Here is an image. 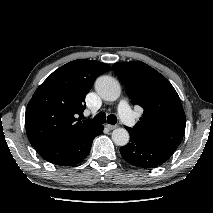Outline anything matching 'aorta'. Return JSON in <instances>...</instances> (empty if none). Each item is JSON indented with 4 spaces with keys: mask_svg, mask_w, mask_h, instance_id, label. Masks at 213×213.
<instances>
[{
    "mask_svg": "<svg viewBox=\"0 0 213 213\" xmlns=\"http://www.w3.org/2000/svg\"><path fill=\"white\" fill-rule=\"evenodd\" d=\"M95 89L106 101L117 100L121 93L119 82L110 76H100L95 82ZM112 140L118 146H125L129 142V133L125 128H117L112 132Z\"/></svg>",
    "mask_w": 213,
    "mask_h": 213,
    "instance_id": "762f6f07",
    "label": "aorta"
}]
</instances>
